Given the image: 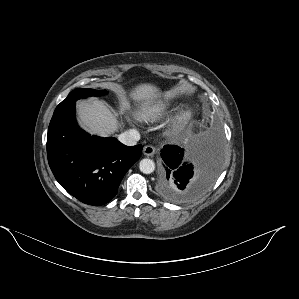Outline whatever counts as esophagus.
<instances>
[{
  "label": "esophagus",
  "instance_id": "esophagus-1",
  "mask_svg": "<svg viewBox=\"0 0 299 299\" xmlns=\"http://www.w3.org/2000/svg\"><path fill=\"white\" fill-rule=\"evenodd\" d=\"M156 153V148L152 145H147L143 148V154L145 156H153Z\"/></svg>",
  "mask_w": 299,
  "mask_h": 299
}]
</instances>
